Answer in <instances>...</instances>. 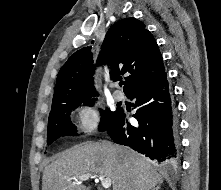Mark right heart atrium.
<instances>
[{
    "label": "right heart atrium",
    "instance_id": "right-heart-atrium-1",
    "mask_svg": "<svg viewBox=\"0 0 221 190\" xmlns=\"http://www.w3.org/2000/svg\"><path fill=\"white\" fill-rule=\"evenodd\" d=\"M100 110L97 104L88 101L79 104L75 110V126L83 134L96 131L100 125Z\"/></svg>",
    "mask_w": 221,
    "mask_h": 190
}]
</instances>
